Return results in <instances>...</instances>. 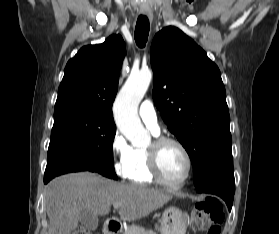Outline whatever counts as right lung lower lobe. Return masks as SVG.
Masks as SVG:
<instances>
[{
    "instance_id": "98d812e1",
    "label": "right lung lower lobe",
    "mask_w": 279,
    "mask_h": 234,
    "mask_svg": "<svg viewBox=\"0 0 279 234\" xmlns=\"http://www.w3.org/2000/svg\"><path fill=\"white\" fill-rule=\"evenodd\" d=\"M77 171H93V168L86 163L83 162H66L60 164L55 168V170L49 174H45L44 183H48L52 178L69 172H77Z\"/></svg>"
}]
</instances>
